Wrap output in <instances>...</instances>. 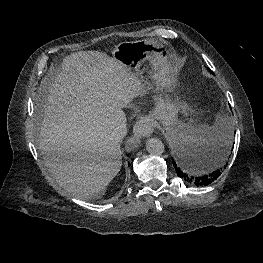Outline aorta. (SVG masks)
I'll return each instance as SVG.
<instances>
[{
	"instance_id": "762f6f07",
	"label": "aorta",
	"mask_w": 263,
	"mask_h": 263,
	"mask_svg": "<svg viewBox=\"0 0 263 263\" xmlns=\"http://www.w3.org/2000/svg\"><path fill=\"white\" fill-rule=\"evenodd\" d=\"M147 151L155 156L162 155L164 153V144L160 139L150 138L146 142Z\"/></svg>"
}]
</instances>
